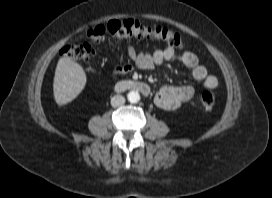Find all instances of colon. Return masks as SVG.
Masks as SVG:
<instances>
[{"label": "colon", "instance_id": "1", "mask_svg": "<svg viewBox=\"0 0 272 198\" xmlns=\"http://www.w3.org/2000/svg\"><path fill=\"white\" fill-rule=\"evenodd\" d=\"M107 36L114 38H138V39H160L165 41L172 48H182L181 37L161 26H146L134 19L110 20L107 23L97 25L87 32V37L92 42H100ZM63 56L80 60L90 61L96 56V49L88 42L70 44L62 48ZM215 105V95L206 91L201 96V107L210 111Z\"/></svg>", "mask_w": 272, "mask_h": 198}]
</instances>
